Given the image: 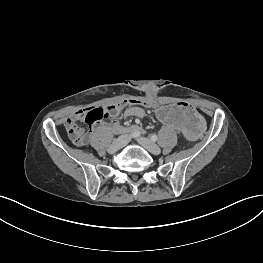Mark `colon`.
<instances>
[{"instance_id":"1","label":"colon","mask_w":263,"mask_h":263,"mask_svg":"<svg viewBox=\"0 0 263 263\" xmlns=\"http://www.w3.org/2000/svg\"><path fill=\"white\" fill-rule=\"evenodd\" d=\"M126 104H144L151 105V101L140 100H125L118 104L107 106L106 108H91L84 112L83 119L88 127H93L100 123L102 120L112 117L116 110ZM65 129L69 138L77 145H83L87 142V132L81 127L73 118H68L65 121Z\"/></svg>"}]
</instances>
